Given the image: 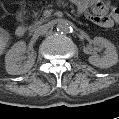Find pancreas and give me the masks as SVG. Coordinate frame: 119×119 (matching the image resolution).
I'll use <instances>...</instances> for the list:
<instances>
[{"mask_svg": "<svg viewBox=\"0 0 119 119\" xmlns=\"http://www.w3.org/2000/svg\"><path fill=\"white\" fill-rule=\"evenodd\" d=\"M56 4H57L58 6H60V7L66 6V3L63 2L62 0L57 1ZM39 13H40V11H37V12L34 13L35 21H34L33 24H31V25L29 26V30H30V31H34L40 24H42L43 22L46 21V18H44V17L38 19Z\"/></svg>", "mask_w": 119, "mask_h": 119, "instance_id": "1", "label": "pancreas"}]
</instances>
